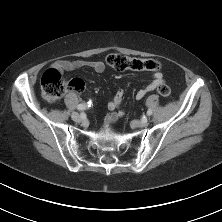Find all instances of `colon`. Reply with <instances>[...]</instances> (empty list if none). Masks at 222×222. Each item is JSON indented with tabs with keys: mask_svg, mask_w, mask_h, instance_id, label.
I'll return each instance as SVG.
<instances>
[{
	"mask_svg": "<svg viewBox=\"0 0 222 222\" xmlns=\"http://www.w3.org/2000/svg\"><path fill=\"white\" fill-rule=\"evenodd\" d=\"M105 62L108 66L117 70L156 71L160 67L159 62L155 59L129 57L119 53L107 55ZM70 88L71 83L55 68L46 70L41 77L42 95L48 102L59 99ZM157 91L164 97L170 95V89L166 85H160Z\"/></svg>",
	"mask_w": 222,
	"mask_h": 222,
	"instance_id": "1",
	"label": "colon"
}]
</instances>
